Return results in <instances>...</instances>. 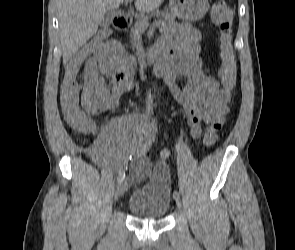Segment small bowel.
I'll return each mask as SVG.
<instances>
[{
	"instance_id": "obj_1",
	"label": "small bowel",
	"mask_w": 295,
	"mask_h": 250,
	"mask_svg": "<svg viewBox=\"0 0 295 250\" xmlns=\"http://www.w3.org/2000/svg\"><path fill=\"white\" fill-rule=\"evenodd\" d=\"M200 32L188 25L167 29L157 47L165 54L164 63L155 66L174 99L183 107L191 135L200 138L203 126L219 128L228 115L232 92L207 74L200 58ZM125 60L119 42L110 40L95 55L79 51L66 66V77L80 78L81 100L87 108L98 112L113 109L120 98L133 88L131 78L119 73ZM154 140V127L131 116L120 118L102 134L104 155L123 164L130 157V179L140 181L151 169L147 151ZM168 151L161 153L167 158Z\"/></svg>"
}]
</instances>
